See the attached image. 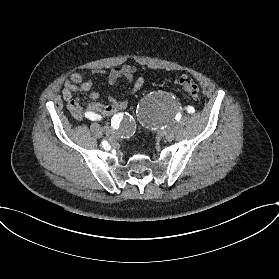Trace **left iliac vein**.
<instances>
[{"label":"left iliac vein","instance_id":"4c4485c4","mask_svg":"<svg viewBox=\"0 0 279 279\" xmlns=\"http://www.w3.org/2000/svg\"><path fill=\"white\" fill-rule=\"evenodd\" d=\"M160 133L164 136V138L167 141L171 142L174 140L175 136H174L173 128L167 129L165 132H160Z\"/></svg>","mask_w":279,"mask_h":279}]
</instances>
